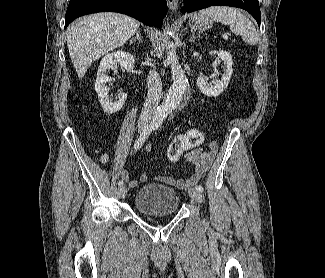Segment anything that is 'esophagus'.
<instances>
[{"mask_svg":"<svg viewBox=\"0 0 325 278\" xmlns=\"http://www.w3.org/2000/svg\"><path fill=\"white\" fill-rule=\"evenodd\" d=\"M167 4L172 11H176L178 8V0H167Z\"/></svg>","mask_w":325,"mask_h":278,"instance_id":"34e87169","label":"esophagus"}]
</instances>
